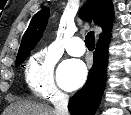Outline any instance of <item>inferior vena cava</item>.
Segmentation results:
<instances>
[{"label":"inferior vena cava","mask_w":131,"mask_h":115,"mask_svg":"<svg viewBox=\"0 0 131 115\" xmlns=\"http://www.w3.org/2000/svg\"><path fill=\"white\" fill-rule=\"evenodd\" d=\"M68 101L69 97L67 94L60 92L54 96L52 103L55 107L56 115H69Z\"/></svg>","instance_id":"obj_1"}]
</instances>
